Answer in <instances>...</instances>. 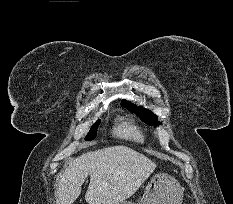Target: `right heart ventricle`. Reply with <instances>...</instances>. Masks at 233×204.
I'll list each match as a JSON object with an SVG mask.
<instances>
[{"label": "right heart ventricle", "mask_w": 233, "mask_h": 204, "mask_svg": "<svg viewBox=\"0 0 233 204\" xmlns=\"http://www.w3.org/2000/svg\"><path fill=\"white\" fill-rule=\"evenodd\" d=\"M113 134L121 139L134 143H143V131L133 122L120 118L113 128Z\"/></svg>", "instance_id": "e07e8e85"}]
</instances>
